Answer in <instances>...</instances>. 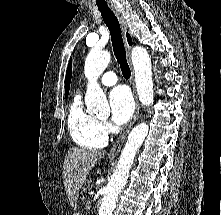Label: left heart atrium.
<instances>
[{"label":"left heart atrium","mask_w":221,"mask_h":215,"mask_svg":"<svg viewBox=\"0 0 221 215\" xmlns=\"http://www.w3.org/2000/svg\"><path fill=\"white\" fill-rule=\"evenodd\" d=\"M111 119L116 125H124L132 116L134 102L129 89L125 86L114 88L109 96Z\"/></svg>","instance_id":"obj_1"}]
</instances>
